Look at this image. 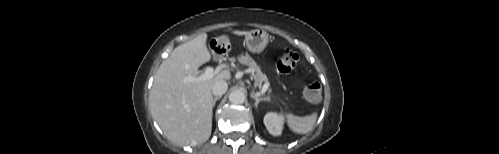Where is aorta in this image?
<instances>
[{
    "mask_svg": "<svg viewBox=\"0 0 499 154\" xmlns=\"http://www.w3.org/2000/svg\"><path fill=\"white\" fill-rule=\"evenodd\" d=\"M245 98V94L241 90H234L229 94V101L233 104H242Z\"/></svg>",
    "mask_w": 499,
    "mask_h": 154,
    "instance_id": "obj_1",
    "label": "aorta"
}]
</instances>
